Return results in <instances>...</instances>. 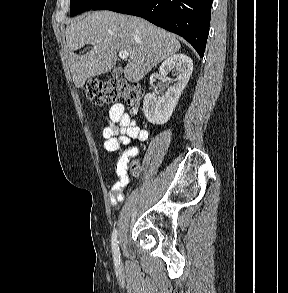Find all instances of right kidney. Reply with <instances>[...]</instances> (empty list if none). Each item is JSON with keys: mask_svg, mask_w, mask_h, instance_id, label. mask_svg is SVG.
Masks as SVG:
<instances>
[{"mask_svg": "<svg viewBox=\"0 0 288 293\" xmlns=\"http://www.w3.org/2000/svg\"><path fill=\"white\" fill-rule=\"evenodd\" d=\"M170 71L176 75L175 80L167 77ZM192 71L193 61L181 53L168 57L161 64L159 73L164 79L169 81L170 86L162 97H158L154 93H147L144 97L143 112L150 123L164 124L169 120L182 91L189 81Z\"/></svg>", "mask_w": 288, "mask_h": 293, "instance_id": "ca27d5eb", "label": "right kidney"}]
</instances>
